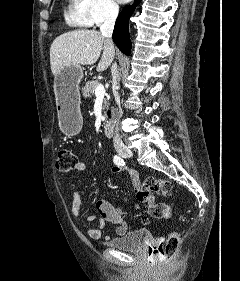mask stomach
Returning a JSON list of instances; mask_svg holds the SVG:
<instances>
[{"mask_svg": "<svg viewBox=\"0 0 240 281\" xmlns=\"http://www.w3.org/2000/svg\"><path fill=\"white\" fill-rule=\"evenodd\" d=\"M83 77L80 65L64 66L54 78V92L59 124L68 136L76 135L83 125L80 110L79 83Z\"/></svg>", "mask_w": 240, "mask_h": 281, "instance_id": "obj_1", "label": "stomach"}]
</instances>
